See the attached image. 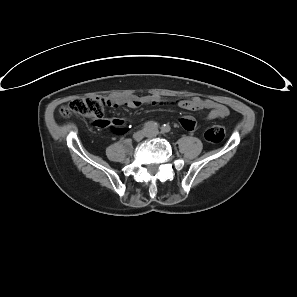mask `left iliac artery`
<instances>
[{"instance_id": "44dca946", "label": "left iliac artery", "mask_w": 297, "mask_h": 297, "mask_svg": "<svg viewBox=\"0 0 297 297\" xmlns=\"http://www.w3.org/2000/svg\"><path fill=\"white\" fill-rule=\"evenodd\" d=\"M170 131V127L168 125H164L162 128H161V132L163 133H167Z\"/></svg>"}]
</instances>
